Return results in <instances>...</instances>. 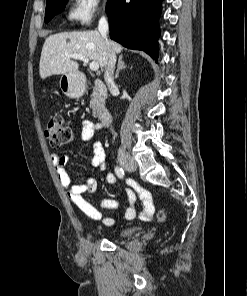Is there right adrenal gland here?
Here are the masks:
<instances>
[{"mask_svg": "<svg viewBox=\"0 0 247 296\" xmlns=\"http://www.w3.org/2000/svg\"><path fill=\"white\" fill-rule=\"evenodd\" d=\"M123 55H120L119 56V59H118V67H117V71H116V74H115V79H117L119 77V72L120 70L122 69H125L127 66L125 65V63L123 62Z\"/></svg>", "mask_w": 247, "mask_h": 296, "instance_id": "1", "label": "right adrenal gland"}]
</instances>
